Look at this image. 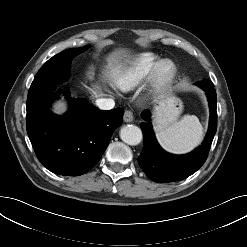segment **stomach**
<instances>
[{
  "instance_id": "0dacf381",
  "label": "stomach",
  "mask_w": 247,
  "mask_h": 247,
  "mask_svg": "<svg viewBox=\"0 0 247 247\" xmlns=\"http://www.w3.org/2000/svg\"><path fill=\"white\" fill-rule=\"evenodd\" d=\"M182 110V101L174 95V88L169 87L154 107L155 129L160 131L167 127L181 114Z\"/></svg>"
}]
</instances>
